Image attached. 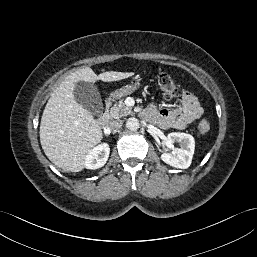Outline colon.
<instances>
[{
  "mask_svg": "<svg viewBox=\"0 0 257 257\" xmlns=\"http://www.w3.org/2000/svg\"><path fill=\"white\" fill-rule=\"evenodd\" d=\"M156 78L158 82V87L167 99L175 98L181 95V87L171 78L166 72L159 70L156 73ZM198 129L201 133H206L210 129V124L208 121L203 120L199 123Z\"/></svg>",
  "mask_w": 257,
  "mask_h": 257,
  "instance_id": "obj_1",
  "label": "colon"
}]
</instances>
